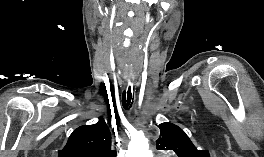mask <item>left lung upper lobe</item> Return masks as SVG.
Here are the masks:
<instances>
[{
	"label": "left lung upper lobe",
	"mask_w": 264,
	"mask_h": 157,
	"mask_svg": "<svg viewBox=\"0 0 264 157\" xmlns=\"http://www.w3.org/2000/svg\"><path fill=\"white\" fill-rule=\"evenodd\" d=\"M159 128L158 150H173L178 157H210L208 150H198L177 125L162 123Z\"/></svg>",
	"instance_id": "1"
}]
</instances>
